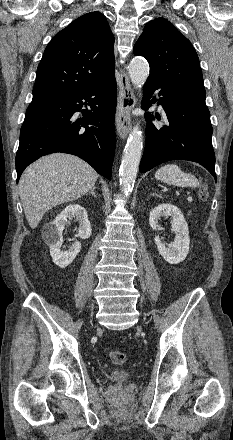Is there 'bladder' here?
<instances>
[{"instance_id":"obj_1","label":"bladder","mask_w":233,"mask_h":440,"mask_svg":"<svg viewBox=\"0 0 233 440\" xmlns=\"http://www.w3.org/2000/svg\"><path fill=\"white\" fill-rule=\"evenodd\" d=\"M131 372L126 369L114 370L109 374V379L112 381H126L130 378Z\"/></svg>"}]
</instances>
